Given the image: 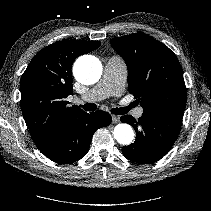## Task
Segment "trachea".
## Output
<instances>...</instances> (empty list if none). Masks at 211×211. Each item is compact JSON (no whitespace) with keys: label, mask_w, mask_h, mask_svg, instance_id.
<instances>
[{"label":"trachea","mask_w":211,"mask_h":211,"mask_svg":"<svg viewBox=\"0 0 211 211\" xmlns=\"http://www.w3.org/2000/svg\"><path fill=\"white\" fill-rule=\"evenodd\" d=\"M81 107H83V109L85 111H95L97 109L96 104L93 103H86L84 105H81ZM133 107H135V104L131 103L129 106L127 107H123V108H112L111 112L116 114V115H123L128 113Z\"/></svg>","instance_id":"obj_1"}]
</instances>
